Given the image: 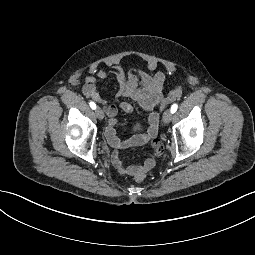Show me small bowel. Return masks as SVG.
<instances>
[{"label":"small bowel","instance_id":"c3829d8e","mask_svg":"<svg viewBox=\"0 0 255 255\" xmlns=\"http://www.w3.org/2000/svg\"><path fill=\"white\" fill-rule=\"evenodd\" d=\"M148 68L150 72L125 70L120 65H113L108 70L92 66L90 68L91 75L84 78L83 94L101 104L109 117L105 136L109 145L113 148L111 162L121 175L134 176L138 171L153 169L163 152V144L157 137L159 114L155 111V108L163 100L166 74L162 71H156V62L149 63ZM110 76H114L119 84V89L116 93L117 98L131 99L138 104L142 111L149 114V126L146 132L136 133L123 141L117 137L115 125L119 110L124 113H130L133 107L127 101H122L119 106H116L101 97L97 90V78L107 79ZM146 144H149L153 151L147 156L142 165L125 163L120 159L121 150Z\"/></svg>","mask_w":255,"mask_h":255}]
</instances>
